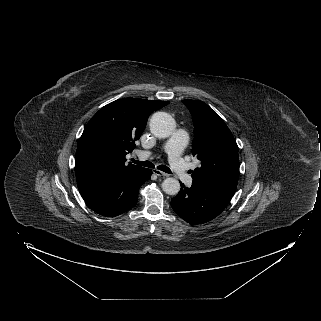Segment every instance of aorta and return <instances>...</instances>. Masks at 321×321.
Segmentation results:
<instances>
[{
  "instance_id": "obj_1",
  "label": "aorta",
  "mask_w": 321,
  "mask_h": 321,
  "mask_svg": "<svg viewBox=\"0 0 321 321\" xmlns=\"http://www.w3.org/2000/svg\"><path fill=\"white\" fill-rule=\"evenodd\" d=\"M150 131L158 138L169 137L175 127L174 119L166 112H156L150 119ZM162 189L168 195H176L180 191L177 179L169 177L162 182Z\"/></svg>"
}]
</instances>
